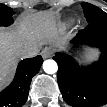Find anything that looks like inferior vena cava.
Returning a JSON list of instances; mask_svg holds the SVG:
<instances>
[{
  "instance_id": "602c4592",
  "label": "inferior vena cava",
  "mask_w": 107,
  "mask_h": 107,
  "mask_svg": "<svg viewBox=\"0 0 107 107\" xmlns=\"http://www.w3.org/2000/svg\"><path fill=\"white\" fill-rule=\"evenodd\" d=\"M38 48H23L19 51V54L24 58L35 57L38 54Z\"/></svg>"
}]
</instances>
